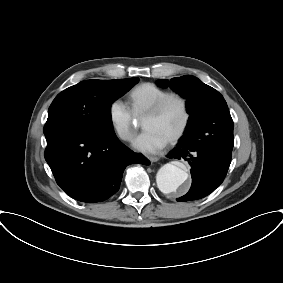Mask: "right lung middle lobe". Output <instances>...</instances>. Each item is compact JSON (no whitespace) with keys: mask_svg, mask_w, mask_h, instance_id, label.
<instances>
[{"mask_svg":"<svg viewBox=\"0 0 283 283\" xmlns=\"http://www.w3.org/2000/svg\"><path fill=\"white\" fill-rule=\"evenodd\" d=\"M138 80H86L62 91L48 110L43 130L46 140L72 132L114 133L111 105Z\"/></svg>","mask_w":283,"mask_h":283,"instance_id":"1","label":"right lung middle lobe"}]
</instances>
